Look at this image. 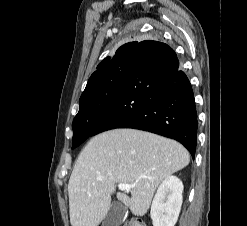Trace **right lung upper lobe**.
Returning a JSON list of instances; mask_svg holds the SVG:
<instances>
[{
    "instance_id": "obj_1",
    "label": "right lung upper lobe",
    "mask_w": 247,
    "mask_h": 226,
    "mask_svg": "<svg viewBox=\"0 0 247 226\" xmlns=\"http://www.w3.org/2000/svg\"><path fill=\"white\" fill-rule=\"evenodd\" d=\"M137 44L138 42H130L124 44L116 51V55L118 56L127 55L131 57L132 52ZM109 62H110V58L107 57L99 63V65L97 66V70L91 75L84 92L93 84L95 79L101 74L102 70L108 65Z\"/></svg>"
}]
</instances>
